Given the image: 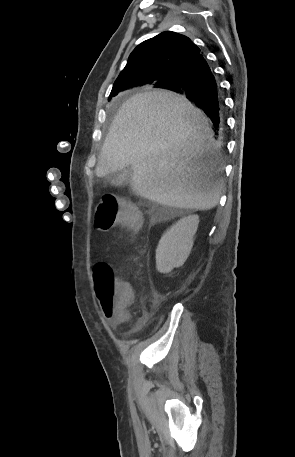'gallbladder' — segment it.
<instances>
[{
    "mask_svg": "<svg viewBox=\"0 0 295 457\" xmlns=\"http://www.w3.org/2000/svg\"><path fill=\"white\" fill-rule=\"evenodd\" d=\"M132 177L131 167L124 168L122 171H118L107 176V180L113 186H124L129 184Z\"/></svg>",
    "mask_w": 295,
    "mask_h": 457,
    "instance_id": "1",
    "label": "gallbladder"
}]
</instances>
